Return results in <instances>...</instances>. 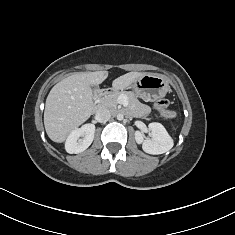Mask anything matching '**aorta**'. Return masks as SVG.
<instances>
[{"label": "aorta", "instance_id": "762f6f07", "mask_svg": "<svg viewBox=\"0 0 235 235\" xmlns=\"http://www.w3.org/2000/svg\"><path fill=\"white\" fill-rule=\"evenodd\" d=\"M123 118H124L123 114L119 113V114L117 115V119H118L119 121L123 120Z\"/></svg>", "mask_w": 235, "mask_h": 235}]
</instances>
